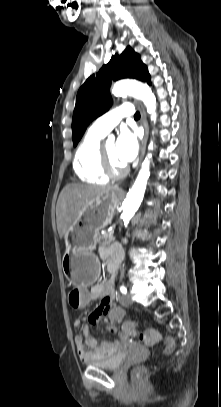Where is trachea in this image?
<instances>
[{
  "instance_id": "3493384b",
  "label": "trachea",
  "mask_w": 221,
  "mask_h": 407,
  "mask_svg": "<svg viewBox=\"0 0 221 407\" xmlns=\"http://www.w3.org/2000/svg\"><path fill=\"white\" fill-rule=\"evenodd\" d=\"M134 118H135V119H139V118H140V113H139V112H136L135 115H134Z\"/></svg>"
}]
</instances>
